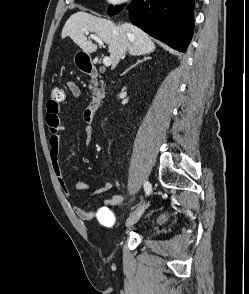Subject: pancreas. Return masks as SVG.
<instances>
[{
	"instance_id": "obj_1",
	"label": "pancreas",
	"mask_w": 249,
	"mask_h": 294,
	"mask_svg": "<svg viewBox=\"0 0 249 294\" xmlns=\"http://www.w3.org/2000/svg\"><path fill=\"white\" fill-rule=\"evenodd\" d=\"M104 85V82L102 81V86Z\"/></svg>"
}]
</instances>
